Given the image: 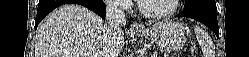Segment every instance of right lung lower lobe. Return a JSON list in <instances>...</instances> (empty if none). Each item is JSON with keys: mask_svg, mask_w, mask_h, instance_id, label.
<instances>
[{"mask_svg": "<svg viewBox=\"0 0 249 57\" xmlns=\"http://www.w3.org/2000/svg\"><path fill=\"white\" fill-rule=\"evenodd\" d=\"M65 3L80 4L97 13L102 19H105L106 6L102 0H40L38 4L35 28L41 20L56 7Z\"/></svg>", "mask_w": 249, "mask_h": 57, "instance_id": "obj_1", "label": "right lung lower lobe"}]
</instances>
